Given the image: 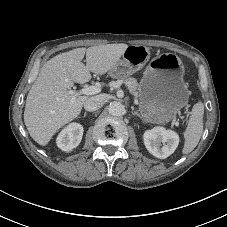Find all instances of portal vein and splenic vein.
<instances>
[{
	"mask_svg": "<svg viewBox=\"0 0 227 227\" xmlns=\"http://www.w3.org/2000/svg\"><path fill=\"white\" fill-rule=\"evenodd\" d=\"M101 91V87L100 86H97V85H92V86H86L85 88L79 90L78 92L74 91V90H68V93L73 95L74 97L72 98V101L73 102L75 100V96L77 95H80V94H85V95H94V94H97ZM174 125L176 127L179 126V121L178 119H175L173 121Z\"/></svg>",
	"mask_w": 227,
	"mask_h": 227,
	"instance_id": "obj_1",
	"label": "portal vein and splenic vein"
}]
</instances>
